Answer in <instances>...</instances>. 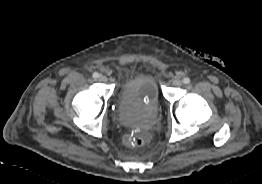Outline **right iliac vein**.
Returning <instances> with one entry per match:
<instances>
[{
	"mask_svg": "<svg viewBox=\"0 0 262 184\" xmlns=\"http://www.w3.org/2000/svg\"><path fill=\"white\" fill-rule=\"evenodd\" d=\"M108 79H107V77L105 76V75H100L99 76V81H101V82H106Z\"/></svg>",
	"mask_w": 262,
	"mask_h": 184,
	"instance_id": "right-iliac-vein-1",
	"label": "right iliac vein"
}]
</instances>
